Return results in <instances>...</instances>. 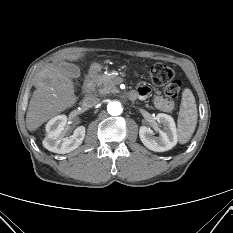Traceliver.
I'll return each mask as SVG.
<instances>
[{"label":"liver","instance_id":"liver-1","mask_svg":"<svg viewBox=\"0 0 233 233\" xmlns=\"http://www.w3.org/2000/svg\"><path fill=\"white\" fill-rule=\"evenodd\" d=\"M83 56L82 53L63 55L36 73V90L32 94L26 114L28 130H36L44 122L76 103L74 83L61 64L65 63V60L76 61Z\"/></svg>","mask_w":233,"mask_h":233}]
</instances>
